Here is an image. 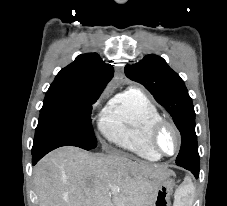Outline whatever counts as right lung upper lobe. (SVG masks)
<instances>
[{
    "label": "right lung upper lobe",
    "instance_id": "right-lung-upper-lobe-1",
    "mask_svg": "<svg viewBox=\"0 0 227 206\" xmlns=\"http://www.w3.org/2000/svg\"><path fill=\"white\" fill-rule=\"evenodd\" d=\"M113 74L112 65L97 53L81 54L57 74L49 90L100 95Z\"/></svg>",
    "mask_w": 227,
    "mask_h": 206
}]
</instances>
